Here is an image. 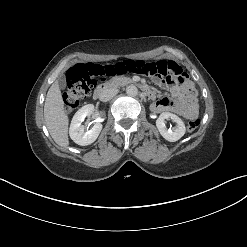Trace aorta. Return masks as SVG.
Segmentation results:
<instances>
[{"label":"aorta","mask_w":247,"mask_h":247,"mask_svg":"<svg viewBox=\"0 0 247 247\" xmlns=\"http://www.w3.org/2000/svg\"><path fill=\"white\" fill-rule=\"evenodd\" d=\"M126 93L127 95L129 96H136L138 94V89L136 86L134 85H129L127 88H126Z\"/></svg>","instance_id":"aorta-1"}]
</instances>
